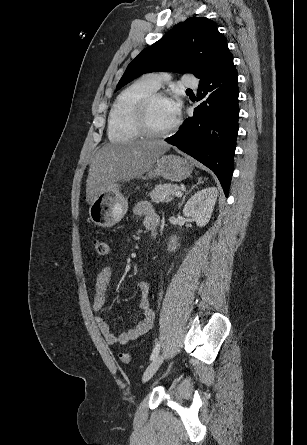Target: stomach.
<instances>
[{"label": "stomach", "instance_id": "0dacf381", "mask_svg": "<svg viewBox=\"0 0 307 445\" xmlns=\"http://www.w3.org/2000/svg\"><path fill=\"white\" fill-rule=\"evenodd\" d=\"M192 164L187 162L186 158H180L175 154H163L156 158L154 168L147 172L148 178H153L156 174L169 178V180H183L191 174ZM124 182H115L110 186V190L102 192L94 198L89 206V216L94 225L98 227H114L120 223L121 218L125 216L128 210V198H125L121 192V186Z\"/></svg>", "mask_w": 307, "mask_h": 445}]
</instances>
